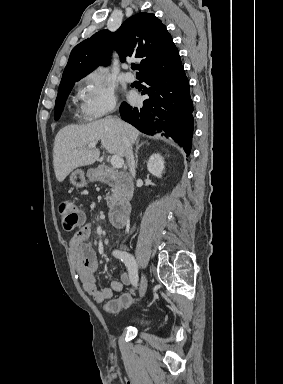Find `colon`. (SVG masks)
<instances>
[{
    "label": "colon",
    "instance_id": "5ec220e1",
    "mask_svg": "<svg viewBox=\"0 0 283 384\" xmlns=\"http://www.w3.org/2000/svg\"><path fill=\"white\" fill-rule=\"evenodd\" d=\"M61 224L65 231H73L83 223V214L72 199H64L59 204ZM134 302L132 292H125L119 298L111 300L104 305L108 313H116L128 308Z\"/></svg>",
    "mask_w": 283,
    "mask_h": 384
}]
</instances>
